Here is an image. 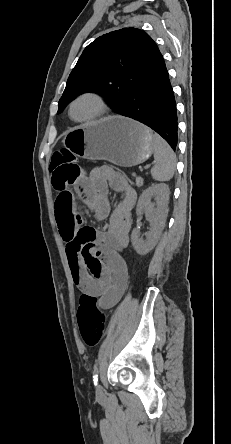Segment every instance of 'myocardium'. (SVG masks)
I'll return each instance as SVG.
<instances>
[{
    "label": "myocardium",
    "mask_w": 231,
    "mask_h": 444,
    "mask_svg": "<svg viewBox=\"0 0 231 444\" xmlns=\"http://www.w3.org/2000/svg\"><path fill=\"white\" fill-rule=\"evenodd\" d=\"M84 97H91L93 99H95L98 103L99 109L98 111L91 117L88 118H84V119H77L73 116V107L75 105V103ZM69 116L70 118L77 123H90V122H94V121H98L101 118H103L107 112H108V105L107 102L105 100V98L98 92L95 91H85L82 92L80 94H78L70 103L69 105Z\"/></svg>",
    "instance_id": "f54148a6"
}]
</instances>
